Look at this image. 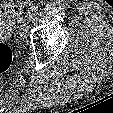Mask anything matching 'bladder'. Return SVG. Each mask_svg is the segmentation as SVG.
Instances as JSON below:
<instances>
[{"mask_svg":"<svg viewBox=\"0 0 113 113\" xmlns=\"http://www.w3.org/2000/svg\"><path fill=\"white\" fill-rule=\"evenodd\" d=\"M13 22L7 16L0 15V40L7 38L13 30Z\"/></svg>","mask_w":113,"mask_h":113,"instance_id":"31cf9c89","label":"bladder"}]
</instances>
